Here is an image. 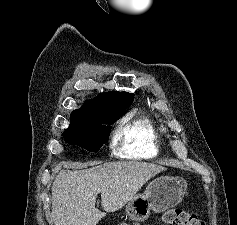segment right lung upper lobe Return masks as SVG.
I'll use <instances>...</instances> for the list:
<instances>
[{
	"instance_id": "1",
	"label": "right lung upper lobe",
	"mask_w": 237,
	"mask_h": 225,
	"mask_svg": "<svg viewBox=\"0 0 237 225\" xmlns=\"http://www.w3.org/2000/svg\"><path fill=\"white\" fill-rule=\"evenodd\" d=\"M134 100V95L127 92L100 93L94 99L87 100L82 108L74 110L70 115V123H87L95 112L108 111L116 115H123L125 108Z\"/></svg>"
}]
</instances>
